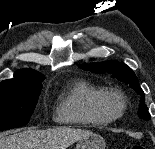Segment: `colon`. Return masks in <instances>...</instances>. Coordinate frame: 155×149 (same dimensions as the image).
<instances>
[{"mask_svg": "<svg viewBox=\"0 0 155 149\" xmlns=\"http://www.w3.org/2000/svg\"><path fill=\"white\" fill-rule=\"evenodd\" d=\"M125 149H144V147L139 143H132V144L126 145Z\"/></svg>", "mask_w": 155, "mask_h": 149, "instance_id": "1", "label": "colon"}]
</instances>
